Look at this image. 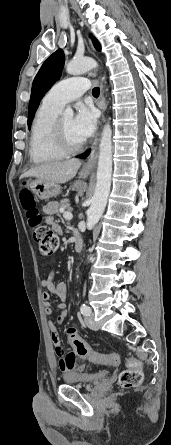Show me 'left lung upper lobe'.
<instances>
[{"instance_id": "1", "label": "left lung upper lobe", "mask_w": 171, "mask_h": 445, "mask_svg": "<svg viewBox=\"0 0 171 445\" xmlns=\"http://www.w3.org/2000/svg\"><path fill=\"white\" fill-rule=\"evenodd\" d=\"M92 37V36H91ZM95 48L100 51L99 42L92 37ZM64 53L58 49L43 63L37 75L34 78L31 90V97L28 109V128L31 126L34 114L39 106L40 100L52 85L61 77L64 66Z\"/></svg>"}]
</instances>
